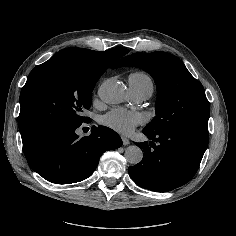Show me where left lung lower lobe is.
<instances>
[{
  "label": "left lung lower lobe",
  "mask_w": 236,
  "mask_h": 236,
  "mask_svg": "<svg viewBox=\"0 0 236 236\" xmlns=\"http://www.w3.org/2000/svg\"><path fill=\"white\" fill-rule=\"evenodd\" d=\"M150 142L135 143L143 151L140 163L128 168L140 187L166 192L176 189L196 174L208 145V134L189 130L143 131Z\"/></svg>",
  "instance_id": "left-lung-lower-lobe-1"
}]
</instances>
